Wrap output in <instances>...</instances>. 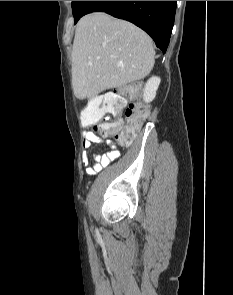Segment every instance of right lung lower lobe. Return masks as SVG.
Instances as JSON below:
<instances>
[{
	"instance_id": "98d812e1",
	"label": "right lung lower lobe",
	"mask_w": 233,
	"mask_h": 295,
	"mask_svg": "<svg viewBox=\"0 0 233 295\" xmlns=\"http://www.w3.org/2000/svg\"><path fill=\"white\" fill-rule=\"evenodd\" d=\"M177 1H87L82 16L91 12H106L130 21L146 31L163 53L166 52Z\"/></svg>"
}]
</instances>
